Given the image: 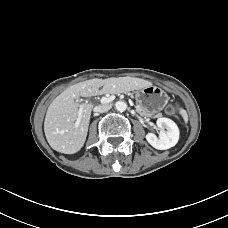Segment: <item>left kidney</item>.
I'll return each instance as SVG.
<instances>
[{
  "label": "left kidney",
  "instance_id": "1",
  "mask_svg": "<svg viewBox=\"0 0 228 228\" xmlns=\"http://www.w3.org/2000/svg\"><path fill=\"white\" fill-rule=\"evenodd\" d=\"M160 132L159 137L154 133H148L146 140L158 150H166L174 147L179 140V129L174 121L169 118H159L156 122Z\"/></svg>",
  "mask_w": 228,
  "mask_h": 228
}]
</instances>
